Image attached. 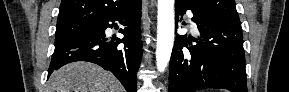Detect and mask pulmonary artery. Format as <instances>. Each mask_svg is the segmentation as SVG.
Wrapping results in <instances>:
<instances>
[{
  "instance_id": "1",
  "label": "pulmonary artery",
  "mask_w": 289,
  "mask_h": 92,
  "mask_svg": "<svg viewBox=\"0 0 289 92\" xmlns=\"http://www.w3.org/2000/svg\"><path fill=\"white\" fill-rule=\"evenodd\" d=\"M191 28H192L193 30H196V29H197V26H196V24H195L193 21H191Z\"/></svg>"
}]
</instances>
